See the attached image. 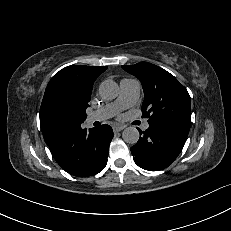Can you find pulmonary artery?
<instances>
[{
    "label": "pulmonary artery",
    "instance_id": "1",
    "mask_svg": "<svg viewBox=\"0 0 231 231\" xmlns=\"http://www.w3.org/2000/svg\"><path fill=\"white\" fill-rule=\"evenodd\" d=\"M141 85L136 79H122L120 81V93L118 98L106 106L89 113L86 117V122L92 124L97 121H105L121 110L129 108L137 103L140 96ZM149 123L143 124V129H148Z\"/></svg>",
    "mask_w": 231,
    "mask_h": 231
}]
</instances>
